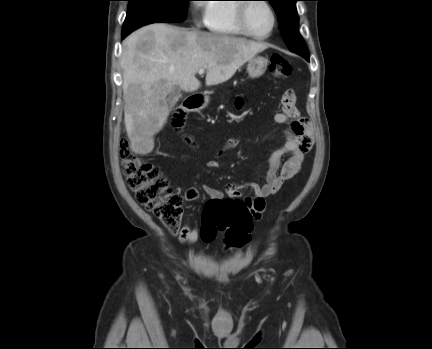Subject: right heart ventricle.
I'll return each mask as SVG.
<instances>
[{
	"mask_svg": "<svg viewBox=\"0 0 432 349\" xmlns=\"http://www.w3.org/2000/svg\"><path fill=\"white\" fill-rule=\"evenodd\" d=\"M223 1L237 0H212L207 4L204 16L206 28L213 34L225 37H242L244 33L236 22V10L238 4L224 3Z\"/></svg>",
	"mask_w": 432,
	"mask_h": 349,
	"instance_id": "1",
	"label": "right heart ventricle"
}]
</instances>
